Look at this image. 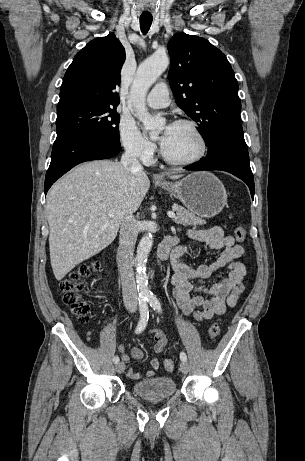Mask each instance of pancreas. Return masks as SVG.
<instances>
[{"mask_svg":"<svg viewBox=\"0 0 305 461\" xmlns=\"http://www.w3.org/2000/svg\"><path fill=\"white\" fill-rule=\"evenodd\" d=\"M172 208L177 212V216L173 219L176 224H182L184 226H197L206 224L205 220L178 204H174Z\"/></svg>","mask_w":305,"mask_h":461,"instance_id":"obj_1","label":"pancreas"}]
</instances>
